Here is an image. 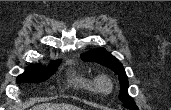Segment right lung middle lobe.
<instances>
[{"label":"right lung middle lobe","mask_w":171,"mask_h":110,"mask_svg":"<svg viewBox=\"0 0 171 110\" xmlns=\"http://www.w3.org/2000/svg\"><path fill=\"white\" fill-rule=\"evenodd\" d=\"M59 61H55L51 63V66L49 68H44L41 65H34L28 69L25 70V72L18 76L17 82H42L47 80L50 75H52L57 68V66L60 64Z\"/></svg>","instance_id":"right-lung-middle-lobe-1"}]
</instances>
